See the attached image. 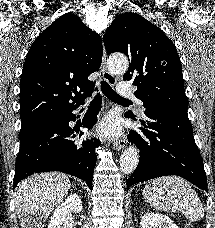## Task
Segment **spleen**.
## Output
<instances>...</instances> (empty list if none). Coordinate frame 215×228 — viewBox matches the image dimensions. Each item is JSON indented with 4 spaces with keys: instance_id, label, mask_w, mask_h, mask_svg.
<instances>
[{
    "instance_id": "spleen-1",
    "label": "spleen",
    "mask_w": 215,
    "mask_h": 228,
    "mask_svg": "<svg viewBox=\"0 0 215 228\" xmlns=\"http://www.w3.org/2000/svg\"><path fill=\"white\" fill-rule=\"evenodd\" d=\"M143 198L162 212H181L189 222L204 218V208L189 182L178 176H163L150 180L143 190Z\"/></svg>"
}]
</instances>
